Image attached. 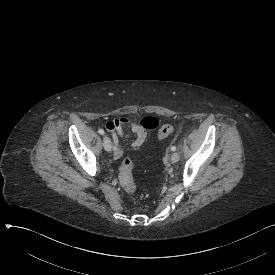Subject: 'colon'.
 Wrapping results in <instances>:
<instances>
[{"label": "colon", "instance_id": "obj_1", "mask_svg": "<svg viewBox=\"0 0 275 275\" xmlns=\"http://www.w3.org/2000/svg\"><path fill=\"white\" fill-rule=\"evenodd\" d=\"M175 128L172 125H163L159 129V136L166 138L174 132ZM118 182L120 186L128 193H133L136 189V184L133 177L132 166L129 163H123L119 173Z\"/></svg>", "mask_w": 275, "mask_h": 275}]
</instances>
